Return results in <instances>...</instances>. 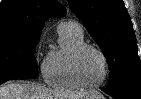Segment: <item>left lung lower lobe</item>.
Listing matches in <instances>:
<instances>
[{
    "label": "left lung lower lobe",
    "mask_w": 141,
    "mask_h": 99,
    "mask_svg": "<svg viewBox=\"0 0 141 99\" xmlns=\"http://www.w3.org/2000/svg\"><path fill=\"white\" fill-rule=\"evenodd\" d=\"M102 90L115 99H141V87H119Z\"/></svg>",
    "instance_id": "1"
}]
</instances>
